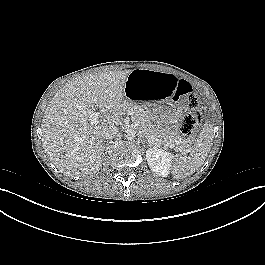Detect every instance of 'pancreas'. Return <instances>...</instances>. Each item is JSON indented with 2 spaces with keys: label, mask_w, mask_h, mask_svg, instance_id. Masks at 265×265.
I'll return each instance as SVG.
<instances>
[{
  "label": "pancreas",
  "mask_w": 265,
  "mask_h": 265,
  "mask_svg": "<svg viewBox=\"0 0 265 265\" xmlns=\"http://www.w3.org/2000/svg\"><path fill=\"white\" fill-rule=\"evenodd\" d=\"M119 112L123 115L129 114L131 118L140 123V129L142 132L153 139L154 144H173L175 142V138L170 135L167 131H164L160 128H156L149 123V119H151V115L148 111L143 109L142 107L135 105L133 103H124L119 107ZM159 130V132L157 131ZM163 138V140H162Z\"/></svg>",
  "instance_id": "obj_1"
}]
</instances>
